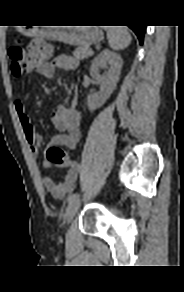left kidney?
I'll list each match as a JSON object with an SVG mask.
<instances>
[{
  "mask_svg": "<svg viewBox=\"0 0 184 292\" xmlns=\"http://www.w3.org/2000/svg\"><path fill=\"white\" fill-rule=\"evenodd\" d=\"M103 68H106L107 72L104 75H100V69ZM121 68V56L108 49L103 50L93 60L90 67V75L98 81L100 91L87 96V106L90 111L100 108L113 93L119 81Z\"/></svg>",
  "mask_w": 184,
  "mask_h": 292,
  "instance_id": "left-kidney-1",
  "label": "left kidney"
}]
</instances>
